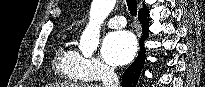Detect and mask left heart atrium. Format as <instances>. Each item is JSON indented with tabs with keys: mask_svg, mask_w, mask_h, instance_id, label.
<instances>
[{
	"mask_svg": "<svg viewBox=\"0 0 205 87\" xmlns=\"http://www.w3.org/2000/svg\"><path fill=\"white\" fill-rule=\"evenodd\" d=\"M136 52V38L128 31L110 33L102 44V55L113 66H122L129 63L134 59Z\"/></svg>",
	"mask_w": 205,
	"mask_h": 87,
	"instance_id": "left-heart-atrium-1",
	"label": "left heart atrium"
}]
</instances>
